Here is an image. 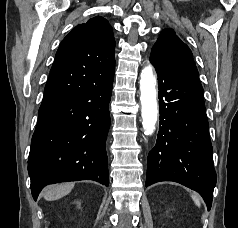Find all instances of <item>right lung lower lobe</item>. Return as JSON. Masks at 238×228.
Returning a JSON list of instances; mask_svg holds the SVG:
<instances>
[{
  "mask_svg": "<svg viewBox=\"0 0 238 228\" xmlns=\"http://www.w3.org/2000/svg\"><path fill=\"white\" fill-rule=\"evenodd\" d=\"M113 78L41 103L28 160L34 200L48 184L89 179L109 185L105 143Z\"/></svg>",
  "mask_w": 238,
  "mask_h": 228,
  "instance_id": "1",
  "label": "right lung lower lobe"
}]
</instances>
